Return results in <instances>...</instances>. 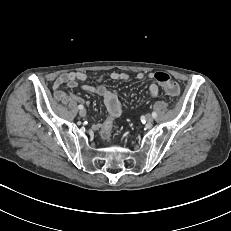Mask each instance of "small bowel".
<instances>
[{
	"label": "small bowel",
	"instance_id": "small-bowel-1",
	"mask_svg": "<svg viewBox=\"0 0 231 231\" xmlns=\"http://www.w3.org/2000/svg\"><path fill=\"white\" fill-rule=\"evenodd\" d=\"M105 78H109L114 81H119V80L126 81L129 79V75L124 72H111L106 76L98 77L96 79L98 84L92 86V85L81 84L82 82L88 80V75L85 72L78 71V72L64 73L60 75L53 84L54 97L55 99L60 100L64 103H68L71 101L85 102V100L82 97L74 93L63 90L61 88L62 85H66L70 89L81 88L84 91L100 96L103 98L104 104L108 111V117L103 123L94 124L92 128L99 129V128H103L107 124L112 125L113 121L121 116L122 108L118 96L113 91H111L108 87L100 84ZM136 78L139 81H143L146 78L153 80L154 73L150 72L146 74L143 72H139L136 75ZM148 92L151 97H156L159 93V88L157 84L155 83L149 84Z\"/></svg>",
	"mask_w": 231,
	"mask_h": 231
}]
</instances>
